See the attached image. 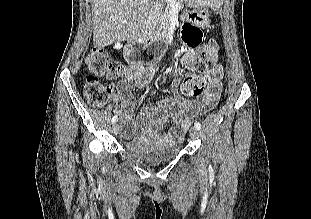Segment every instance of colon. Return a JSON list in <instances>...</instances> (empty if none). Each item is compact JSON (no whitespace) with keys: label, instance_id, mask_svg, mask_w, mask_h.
<instances>
[{"label":"colon","instance_id":"colon-1","mask_svg":"<svg viewBox=\"0 0 311 219\" xmlns=\"http://www.w3.org/2000/svg\"><path fill=\"white\" fill-rule=\"evenodd\" d=\"M200 30L192 25L183 26V39H186L193 45L200 42ZM217 44L215 41H209L199 51L191 68L195 75L189 77L183 87L185 93L190 95L199 94L204 88L202 75L219 70L216 66ZM86 65L90 74L84 84V96L88 102L94 106H104L113 97V89L110 85L100 82V78L114 79L124 73L122 65L113 61L108 54L100 48H94L86 58Z\"/></svg>","mask_w":311,"mask_h":219}]
</instances>
